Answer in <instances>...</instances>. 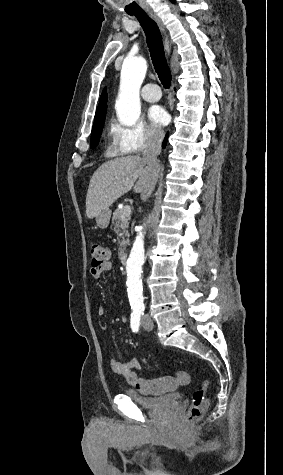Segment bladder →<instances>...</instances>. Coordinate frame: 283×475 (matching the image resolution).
Here are the masks:
<instances>
[{
    "mask_svg": "<svg viewBox=\"0 0 283 475\" xmlns=\"http://www.w3.org/2000/svg\"><path fill=\"white\" fill-rule=\"evenodd\" d=\"M124 393L134 404L148 411L158 410L164 405L178 406L181 400V395L173 392L166 393L161 397H143L137 390L127 388Z\"/></svg>",
    "mask_w": 283,
    "mask_h": 475,
    "instance_id": "31cf9c89",
    "label": "bladder"
}]
</instances>
